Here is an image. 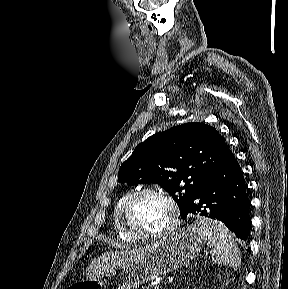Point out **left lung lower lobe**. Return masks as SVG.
Listing matches in <instances>:
<instances>
[{
  "label": "left lung lower lobe",
  "mask_w": 288,
  "mask_h": 289,
  "mask_svg": "<svg viewBox=\"0 0 288 289\" xmlns=\"http://www.w3.org/2000/svg\"><path fill=\"white\" fill-rule=\"evenodd\" d=\"M223 222L235 235L246 241L250 232L248 189L234 154L229 150L222 164L212 173L186 210Z\"/></svg>",
  "instance_id": "1"
}]
</instances>
